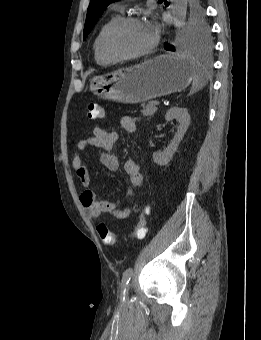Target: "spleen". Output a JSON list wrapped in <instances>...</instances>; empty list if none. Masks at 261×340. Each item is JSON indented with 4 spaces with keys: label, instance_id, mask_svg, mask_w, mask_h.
Here are the masks:
<instances>
[{
    "label": "spleen",
    "instance_id": "3e777b00",
    "mask_svg": "<svg viewBox=\"0 0 261 340\" xmlns=\"http://www.w3.org/2000/svg\"><path fill=\"white\" fill-rule=\"evenodd\" d=\"M195 73L193 76L192 92L200 90L206 84L205 72L200 65L194 63Z\"/></svg>",
    "mask_w": 261,
    "mask_h": 340
}]
</instances>
